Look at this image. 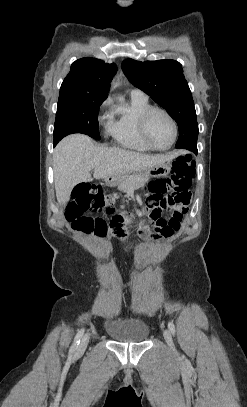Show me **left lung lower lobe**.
Segmentation results:
<instances>
[{
	"label": "left lung lower lobe",
	"mask_w": 247,
	"mask_h": 407,
	"mask_svg": "<svg viewBox=\"0 0 247 407\" xmlns=\"http://www.w3.org/2000/svg\"><path fill=\"white\" fill-rule=\"evenodd\" d=\"M195 154H197V148H192Z\"/></svg>",
	"instance_id": "left-lung-lower-lobe-1"
}]
</instances>
